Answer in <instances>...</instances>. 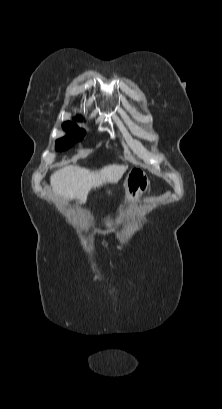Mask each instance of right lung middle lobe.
<instances>
[{
	"mask_svg": "<svg viewBox=\"0 0 222 409\" xmlns=\"http://www.w3.org/2000/svg\"><path fill=\"white\" fill-rule=\"evenodd\" d=\"M76 120L79 119L76 118ZM63 128L70 132V135L56 141V150L58 151L68 149L74 145L76 140H81L85 134L84 130L77 128L76 124L72 122H65Z\"/></svg>",
	"mask_w": 222,
	"mask_h": 409,
	"instance_id": "obj_1",
	"label": "right lung middle lobe"
}]
</instances>
